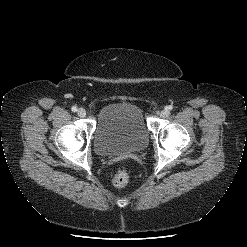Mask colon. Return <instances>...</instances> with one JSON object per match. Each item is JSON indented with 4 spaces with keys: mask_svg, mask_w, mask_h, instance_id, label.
Here are the masks:
<instances>
[{
    "mask_svg": "<svg viewBox=\"0 0 247 247\" xmlns=\"http://www.w3.org/2000/svg\"><path fill=\"white\" fill-rule=\"evenodd\" d=\"M129 181V174L125 169H119L113 176V183L117 187H124Z\"/></svg>",
    "mask_w": 247,
    "mask_h": 247,
    "instance_id": "colon-1",
    "label": "colon"
}]
</instances>
